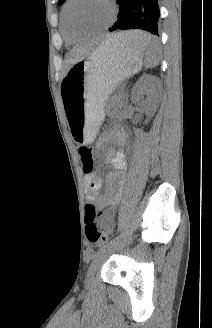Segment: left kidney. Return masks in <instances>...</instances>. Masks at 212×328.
<instances>
[{
	"label": "left kidney",
	"mask_w": 212,
	"mask_h": 328,
	"mask_svg": "<svg viewBox=\"0 0 212 328\" xmlns=\"http://www.w3.org/2000/svg\"><path fill=\"white\" fill-rule=\"evenodd\" d=\"M159 90V80L155 76L145 74L135 84L131 99L134 103H141L145 113L151 117L158 107ZM144 95L147 96L145 100Z\"/></svg>",
	"instance_id": "5707ae66"
}]
</instances>
